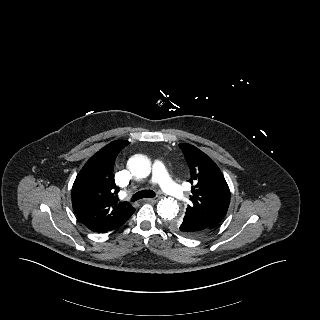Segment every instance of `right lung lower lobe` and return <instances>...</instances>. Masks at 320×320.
Listing matches in <instances>:
<instances>
[{"label":"right lung lower lobe","instance_id":"1","mask_svg":"<svg viewBox=\"0 0 320 320\" xmlns=\"http://www.w3.org/2000/svg\"><path fill=\"white\" fill-rule=\"evenodd\" d=\"M125 222H126V221H125ZM125 222L120 223V224L115 225V226L107 227V228L103 229V230L100 231V232H101V233H105V232H108V231L115 230V229L119 228L120 226H122Z\"/></svg>","mask_w":320,"mask_h":320}]
</instances>
